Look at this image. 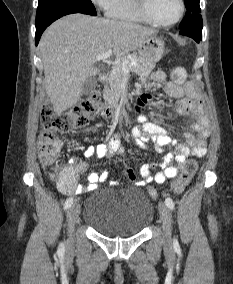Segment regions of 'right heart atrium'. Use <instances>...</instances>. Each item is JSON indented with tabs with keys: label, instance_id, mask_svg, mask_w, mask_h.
<instances>
[{
	"label": "right heart atrium",
	"instance_id": "obj_1",
	"mask_svg": "<svg viewBox=\"0 0 233 284\" xmlns=\"http://www.w3.org/2000/svg\"><path fill=\"white\" fill-rule=\"evenodd\" d=\"M98 8L106 10L110 0H91Z\"/></svg>",
	"mask_w": 233,
	"mask_h": 284
}]
</instances>
